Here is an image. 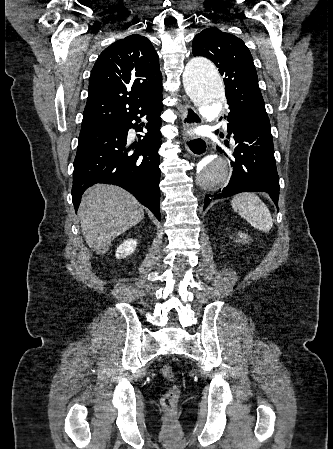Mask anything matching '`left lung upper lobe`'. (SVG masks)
<instances>
[{
  "label": "left lung upper lobe",
  "instance_id": "obj_1",
  "mask_svg": "<svg viewBox=\"0 0 333 449\" xmlns=\"http://www.w3.org/2000/svg\"><path fill=\"white\" fill-rule=\"evenodd\" d=\"M192 47L194 56L207 57L219 68L229 108L270 124L252 55L240 38L211 27L194 37Z\"/></svg>",
  "mask_w": 333,
  "mask_h": 449
}]
</instances>
